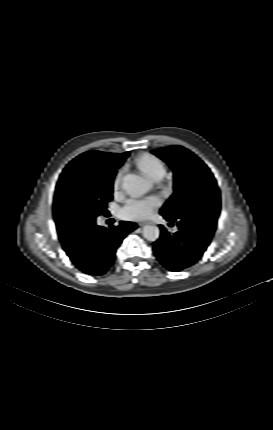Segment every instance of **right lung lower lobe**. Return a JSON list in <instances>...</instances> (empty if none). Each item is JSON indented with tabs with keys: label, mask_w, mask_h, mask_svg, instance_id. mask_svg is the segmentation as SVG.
I'll return each mask as SVG.
<instances>
[{
	"label": "right lung lower lobe",
	"mask_w": 273,
	"mask_h": 430,
	"mask_svg": "<svg viewBox=\"0 0 273 430\" xmlns=\"http://www.w3.org/2000/svg\"><path fill=\"white\" fill-rule=\"evenodd\" d=\"M136 228L132 222L121 221L119 226L107 230L94 222L73 239L63 242L62 247L79 270L100 276L112 267L117 248Z\"/></svg>",
	"instance_id": "98d812e1"
}]
</instances>
